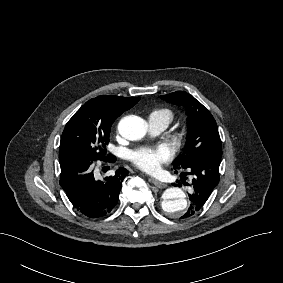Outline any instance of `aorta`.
<instances>
[{"label":"aorta","mask_w":283,"mask_h":283,"mask_svg":"<svg viewBox=\"0 0 283 283\" xmlns=\"http://www.w3.org/2000/svg\"><path fill=\"white\" fill-rule=\"evenodd\" d=\"M147 123L137 116H126L118 124V131L122 137L135 141L143 138L147 132ZM162 209L173 217H180L187 209L186 194L177 187L167 189L162 196Z\"/></svg>","instance_id":"1"}]
</instances>
